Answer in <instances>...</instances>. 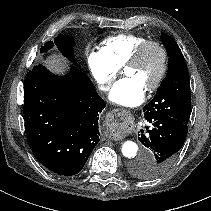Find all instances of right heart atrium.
<instances>
[{"mask_svg": "<svg viewBox=\"0 0 211 211\" xmlns=\"http://www.w3.org/2000/svg\"><path fill=\"white\" fill-rule=\"evenodd\" d=\"M86 60L97 87L102 91L108 90L117 77L119 68L100 49H90Z\"/></svg>", "mask_w": 211, "mask_h": 211, "instance_id": "d8ad5b80", "label": "right heart atrium"}]
</instances>
